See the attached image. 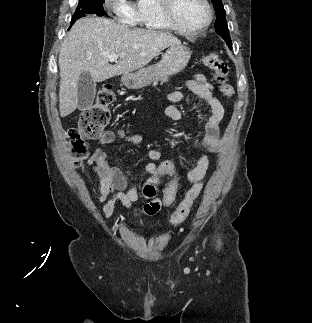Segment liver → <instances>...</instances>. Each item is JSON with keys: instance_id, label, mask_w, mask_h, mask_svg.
<instances>
[{"instance_id": "liver-1", "label": "liver", "mask_w": 312, "mask_h": 323, "mask_svg": "<svg viewBox=\"0 0 312 323\" xmlns=\"http://www.w3.org/2000/svg\"><path fill=\"white\" fill-rule=\"evenodd\" d=\"M181 44L172 34L128 28L108 18L86 16L75 22L59 50V112L61 118L78 106L79 76L90 72L93 82L129 74L147 66L162 50ZM118 54L115 66L107 56Z\"/></svg>"}]
</instances>
